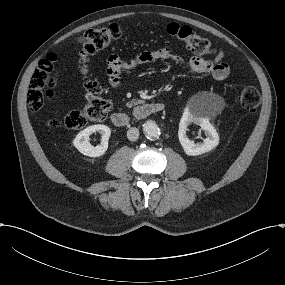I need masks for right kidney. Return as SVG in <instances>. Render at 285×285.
Listing matches in <instances>:
<instances>
[{
  "label": "right kidney",
  "instance_id": "obj_1",
  "mask_svg": "<svg viewBox=\"0 0 285 285\" xmlns=\"http://www.w3.org/2000/svg\"><path fill=\"white\" fill-rule=\"evenodd\" d=\"M94 132H99L102 135L101 144L94 147L87 140L88 136ZM110 128L106 125H92L80 131L73 140V146L84 156L98 158L107 152L108 140L110 138Z\"/></svg>",
  "mask_w": 285,
  "mask_h": 285
}]
</instances>
